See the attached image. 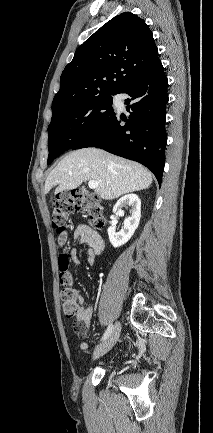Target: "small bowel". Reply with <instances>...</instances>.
I'll return each instance as SVG.
<instances>
[{
	"mask_svg": "<svg viewBox=\"0 0 213 433\" xmlns=\"http://www.w3.org/2000/svg\"><path fill=\"white\" fill-rule=\"evenodd\" d=\"M68 238V233L66 231L59 233L57 242L60 247L64 246ZM73 238L80 245L85 247V252L87 254V263L92 265L94 264L96 257L100 255L104 250V242L99 234L92 229H90L86 225H78L73 231ZM69 260L75 264L79 265L80 261L78 258L77 251L72 249L68 254ZM78 299L81 300L82 297L78 293ZM93 313V308L91 306H82L79 308L76 318L81 322L82 332L80 336H84L90 326H91V317ZM80 349L85 351L88 349L87 342H81L79 345Z\"/></svg>",
	"mask_w": 213,
	"mask_h": 433,
	"instance_id": "c3829d8e",
	"label": "small bowel"
}]
</instances>
